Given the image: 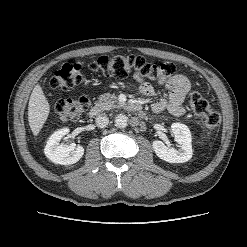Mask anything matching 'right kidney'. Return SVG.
I'll list each match as a JSON object with an SVG mask.
<instances>
[{"mask_svg": "<svg viewBox=\"0 0 247 247\" xmlns=\"http://www.w3.org/2000/svg\"><path fill=\"white\" fill-rule=\"evenodd\" d=\"M69 133L68 128H62L54 132L44 148V153L55 164L70 165L78 162L83 154L84 148L75 144H60L63 136Z\"/></svg>", "mask_w": 247, "mask_h": 247, "instance_id": "1", "label": "right kidney"}]
</instances>
